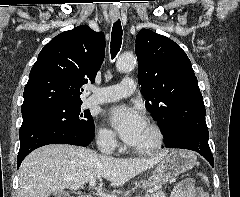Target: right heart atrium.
Here are the masks:
<instances>
[{
	"mask_svg": "<svg viewBox=\"0 0 240 197\" xmlns=\"http://www.w3.org/2000/svg\"><path fill=\"white\" fill-rule=\"evenodd\" d=\"M97 143L102 149L108 152H113L118 147V141L115 133L105 127H102L99 130L97 135Z\"/></svg>",
	"mask_w": 240,
	"mask_h": 197,
	"instance_id": "1",
	"label": "right heart atrium"
}]
</instances>
